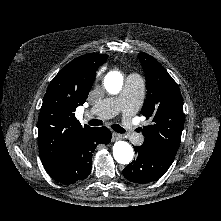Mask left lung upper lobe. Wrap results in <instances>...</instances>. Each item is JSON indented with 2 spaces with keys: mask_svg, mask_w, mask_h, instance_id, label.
<instances>
[{
  "mask_svg": "<svg viewBox=\"0 0 221 221\" xmlns=\"http://www.w3.org/2000/svg\"><path fill=\"white\" fill-rule=\"evenodd\" d=\"M145 71L147 96L141 113L151 124L144 126V146L178 150L184 127L183 99L178 85L152 56L139 53Z\"/></svg>",
  "mask_w": 221,
  "mask_h": 221,
  "instance_id": "1",
  "label": "left lung upper lobe"
}]
</instances>
